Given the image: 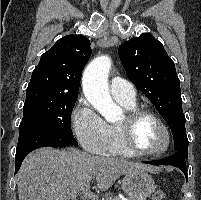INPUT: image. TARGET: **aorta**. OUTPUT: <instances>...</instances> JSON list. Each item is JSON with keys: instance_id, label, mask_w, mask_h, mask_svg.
<instances>
[{"instance_id": "1", "label": "aorta", "mask_w": 201, "mask_h": 200, "mask_svg": "<svg viewBox=\"0 0 201 200\" xmlns=\"http://www.w3.org/2000/svg\"><path fill=\"white\" fill-rule=\"evenodd\" d=\"M111 65V59L107 55L96 57L88 64L82 77L87 101L107 121H113L120 114V108L113 102L108 88Z\"/></svg>"}]
</instances>
